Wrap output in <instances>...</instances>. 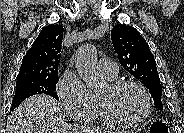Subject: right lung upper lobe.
Here are the masks:
<instances>
[{"mask_svg": "<svg viewBox=\"0 0 184 133\" xmlns=\"http://www.w3.org/2000/svg\"><path fill=\"white\" fill-rule=\"evenodd\" d=\"M63 27H44L22 60L17 79L52 78L58 76Z\"/></svg>", "mask_w": 184, "mask_h": 133, "instance_id": "cb5924a9", "label": "right lung upper lobe"}]
</instances>
